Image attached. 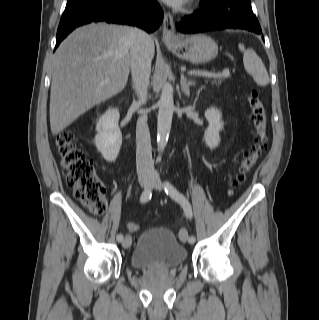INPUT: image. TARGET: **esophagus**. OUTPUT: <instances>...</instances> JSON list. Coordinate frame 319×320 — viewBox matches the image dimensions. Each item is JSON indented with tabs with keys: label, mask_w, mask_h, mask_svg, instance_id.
Instances as JSON below:
<instances>
[{
	"label": "esophagus",
	"mask_w": 319,
	"mask_h": 320,
	"mask_svg": "<svg viewBox=\"0 0 319 320\" xmlns=\"http://www.w3.org/2000/svg\"><path fill=\"white\" fill-rule=\"evenodd\" d=\"M162 33L164 42H170L176 39L175 23L172 15L169 12H166L164 15Z\"/></svg>",
	"instance_id": "esophagus-1"
}]
</instances>
